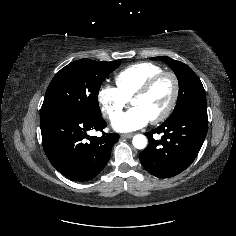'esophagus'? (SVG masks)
Wrapping results in <instances>:
<instances>
[{"label": "esophagus", "instance_id": "1", "mask_svg": "<svg viewBox=\"0 0 236 236\" xmlns=\"http://www.w3.org/2000/svg\"><path fill=\"white\" fill-rule=\"evenodd\" d=\"M133 133H128V134H122L121 137L122 138H132L133 137Z\"/></svg>", "mask_w": 236, "mask_h": 236}]
</instances>
